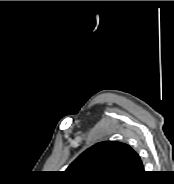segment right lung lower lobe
I'll return each instance as SVG.
<instances>
[{
    "label": "right lung lower lobe",
    "mask_w": 174,
    "mask_h": 184,
    "mask_svg": "<svg viewBox=\"0 0 174 184\" xmlns=\"http://www.w3.org/2000/svg\"><path fill=\"white\" fill-rule=\"evenodd\" d=\"M142 174H144V172H143ZM142 174H141V175H142ZM141 175H140V176H141ZM138 178H139V176H138L137 178H135V179H132V180H129V181H125L124 184H134V183H138V181H137Z\"/></svg>",
    "instance_id": "obj_1"
}]
</instances>
